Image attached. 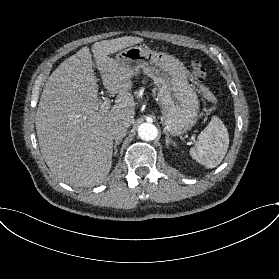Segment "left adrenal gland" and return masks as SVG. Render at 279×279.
<instances>
[{
	"instance_id": "obj_1",
	"label": "left adrenal gland",
	"mask_w": 279,
	"mask_h": 279,
	"mask_svg": "<svg viewBox=\"0 0 279 279\" xmlns=\"http://www.w3.org/2000/svg\"><path fill=\"white\" fill-rule=\"evenodd\" d=\"M170 144H172L173 147H176V146H177V145L175 144V142H171V141L169 140V136H166V146H167V148H169Z\"/></svg>"
}]
</instances>
